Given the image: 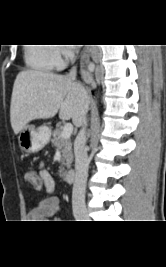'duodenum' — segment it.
<instances>
[{
    "mask_svg": "<svg viewBox=\"0 0 166 267\" xmlns=\"http://www.w3.org/2000/svg\"><path fill=\"white\" fill-rule=\"evenodd\" d=\"M76 171L75 169H69L65 172L64 177L67 182H73L75 180Z\"/></svg>",
    "mask_w": 166,
    "mask_h": 267,
    "instance_id": "obj_1",
    "label": "duodenum"
}]
</instances>
